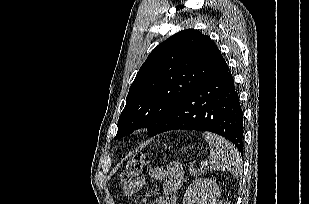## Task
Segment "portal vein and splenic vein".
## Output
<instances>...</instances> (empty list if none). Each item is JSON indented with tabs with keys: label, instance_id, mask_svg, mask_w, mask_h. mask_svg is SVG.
Here are the masks:
<instances>
[{
	"label": "portal vein and splenic vein",
	"instance_id": "obj_1",
	"mask_svg": "<svg viewBox=\"0 0 309 204\" xmlns=\"http://www.w3.org/2000/svg\"><path fill=\"white\" fill-rule=\"evenodd\" d=\"M205 166H206V163H205V162H202V163L200 164V167H201V168H205Z\"/></svg>",
	"mask_w": 309,
	"mask_h": 204
}]
</instances>
